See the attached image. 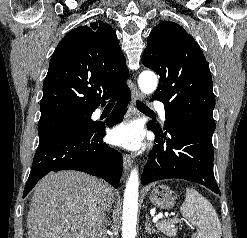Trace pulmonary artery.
<instances>
[{"instance_id": "pulmonary-artery-1", "label": "pulmonary artery", "mask_w": 247, "mask_h": 238, "mask_svg": "<svg viewBox=\"0 0 247 238\" xmlns=\"http://www.w3.org/2000/svg\"><path fill=\"white\" fill-rule=\"evenodd\" d=\"M154 106L156 108V110L158 111L160 117L165 120V117H166V110H165V106L163 103L161 102H155L154 103Z\"/></svg>"}]
</instances>
